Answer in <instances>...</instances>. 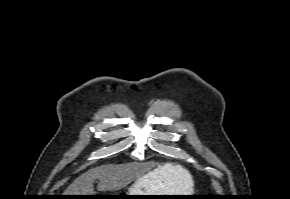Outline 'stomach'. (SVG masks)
<instances>
[{"label":"stomach","mask_w":290,"mask_h":199,"mask_svg":"<svg viewBox=\"0 0 290 199\" xmlns=\"http://www.w3.org/2000/svg\"><path fill=\"white\" fill-rule=\"evenodd\" d=\"M163 178L157 177V169L137 180L125 195H176L169 194ZM118 195V194H112ZM127 199H146L145 196H127Z\"/></svg>","instance_id":"0dacf381"}]
</instances>
